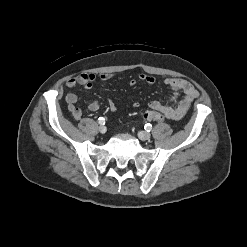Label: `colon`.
Wrapping results in <instances>:
<instances>
[{"label": "colon", "instance_id": "1", "mask_svg": "<svg viewBox=\"0 0 247 247\" xmlns=\"http://www.w3.org/2000/svg\"><path fill=\"white\" fill-rule=\"evenodd\" d=\"M142 118L146 121L162 122L165 120V115L156 110H147L142 114Z\"/></svg>", "mask_w": 247, "mask_h": 247}]
</instances>
